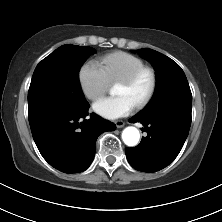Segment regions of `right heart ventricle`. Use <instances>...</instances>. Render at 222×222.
Here are the masks:
<instances>
[{"instance_id": "e07e8e85", "label": "right heart ventricle", "mask_w": 222, "mask_h": 222, "mask_svg": "<svg viewBox=\"0 0 222 222\" xmlns=\"http://www.w3.org/2000/svg\"><path fill=\"white\" fill-rule=\"evenodd\" d=\"M99 63L110 82H117L144 66L142 59L126 52L110 53Z\"/></svg>"}]
</instances>
